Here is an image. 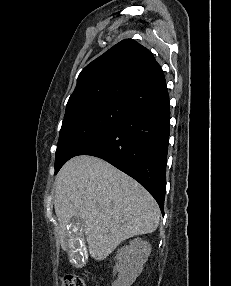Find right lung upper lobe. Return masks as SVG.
<instances>
[{"label": "right lung upper lobe", "instance_id": "obj_1", "mask_svg": "<svg viewBox=\"0 0 231 286\" xmlns=\"http://www.w3.org/2000/svg\"><path fill=\"white\" fill-rule=\"evenodd\" d=\"M164 81L149 50L132 39L122 40L81 71L65 115L102 101L129 105Z\"/></svg>", "mask_w": 231, "mask_h": 286}]
</instances>
